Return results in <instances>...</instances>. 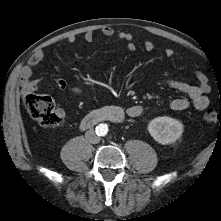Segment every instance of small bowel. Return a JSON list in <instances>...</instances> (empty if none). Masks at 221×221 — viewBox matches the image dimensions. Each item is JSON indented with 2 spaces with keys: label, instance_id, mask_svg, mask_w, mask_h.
Wrapping results in <instances>:
<instances>
[{
  "label": "small bowel",
  "instance_id": "1",
  "mask_svg": "<svg viewBox=\"0 0 221 221\" xmlns=\"http://www.w3.org/2000/svg\"><path fill=\"white\" fill-rule=\"evenodd\" d=\"M100 33L104 37H114L117 36L119 39L125 41L126 48L130 52H134L137 47L133 40V36L129 33H119L116 34L114 29L110 26H103L100 29ZM96 39V35L93 31H88L84 34V40L87 43H92ZM76 40L75 36L71 35L67 37V41L69 43H74ZM156 48V45L152 41H146L144 43V49L146 51H153ZM164 55L167 58H172L175 56V51L172 48H167L164 50ZM44 57V53L42 50H37L28 60L27 64H25L21 70L20 75V85L22 88L23 95L30 94L37 89H39L43 84L44 80L42 78H32L33 68L38 65ZM198 84H190L188 82L182 80L168 79L166 80V84L185 95V97H179L172 100L170 103V107L174 111H182L189 107H194L197 110H204L209 105V98L207 96L209 85L208 78L206 74L202 71H196L194 74ZM53 85L59 89L64 90L67 86L66 82L61 78L53 79ZM72 92L75 94H80L82 92V88L79 86H75L72 88ZM127 114L130 117H139L143 108L140 105H132L127 109ZM61 115H63L62 111H59Z\"/></svg>",
  "mask_w": 221,
  "mask_h": 221
}]
</instances>
